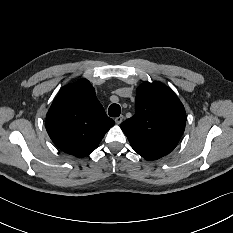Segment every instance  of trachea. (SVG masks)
<instances>
[{
	"label": "trachea",
	"mask_w": 233,
	"mask_h": 233,
	"mask_svg": "<svg viewBox=\"0 0 233 233\" xmlns=\"http://www.w3.org/2000/svg\"><path fill=\"white\" fill-rule=\"evenodd\" d=\"M108 113L110 117H118L121 113V108L118 104H111Z\"/></svg>",
	"instance_id": "3493384b"
}]
</instances>
